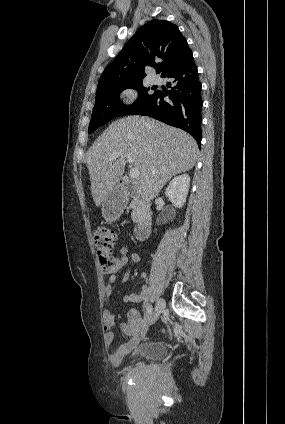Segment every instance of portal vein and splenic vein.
<instances>
[{
  "label": "portal vein and splenic vein",
  "mask_w": 285,
  "mask_h": 424,
  "mask_svg": "<svg viewBox=\"0 0 285 424\" xmlns=\"http://www.w3.org/2000/svg\"><path fill=\"white\" fill-rule=\"evenodd\" d=\"M121 155V153L119 152H115L113 153L110 157H109V161H114L116 160L119 156ZM127 161L132 164L133 163V159L131 156L129 155H125ZM130 177L131 179H138L139 177V170L137 168H131L130 169Z\"/></svg>",
  "instance_id": "1"
}]
</instances>
